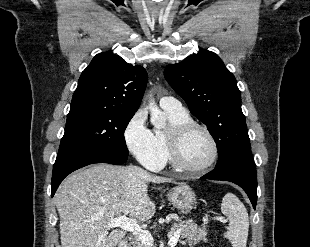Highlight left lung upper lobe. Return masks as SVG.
Wrapping results in <instances>:
<instances>
[{
	"label": "left lung upper lobe",
	"mask_w": 310,
	"mask_h": 247,
	"mask_svg": "<svg viewBox=\"0 0 310 247\" xmlns=\"http://www.w3.org/2000/svg\"><path fill=\"white\" fill-rule=\"evenodd\" d=\"M164 75L191 113L208 127L218 148L217 165L251 150L241 92L234 75L215 53L202 49L168 65Z\"/></svg>",
	"instance_id": "1"
}]
</instances>
